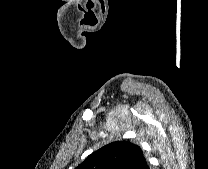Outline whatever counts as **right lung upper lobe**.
Instances as JSON below:
<instances>
[{
	"instance_id": "obj_1",
	"label": "right lung upper lobe",
	"mask_w": 208,
	"mask_h": 169,
	"mask_svg": "<svg viewBox=\"0 0 208 169\" xmlns=\"http://www.w3.org/2000/svg\"><path fill=\"white\" fill-rule=\"evenodd\" d=\"M75 169H149L138 145L115 141L89 155Z\"/></svg>"
}]
</instances>
